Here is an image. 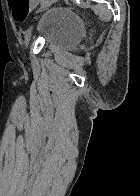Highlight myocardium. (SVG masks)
<instances>
[{"mask_svg": "<svg viewBox=\"0 0 140 196\" xmlns=\"http://www.w3.org/2000/svg\"><path fill=\"white\" fill-rule=\"evenodd\" d=\"M35 192H67V191H35Z\"/></svg>", "mask_w": 140, "mask_h": 196, "instance_id": "1", "label": "myocardium"}]
</instances>
